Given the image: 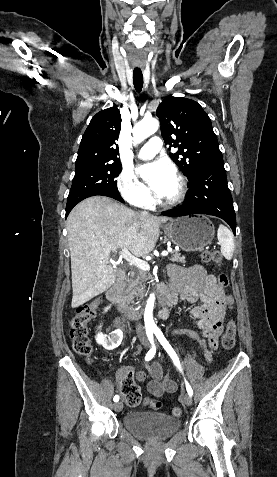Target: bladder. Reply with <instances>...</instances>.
I'll use <instances>...</instances> for the list:
<instances>
[{"mask_svg": "<svg viewBox=\"0 0 277 477\" xmlns=\"http://www.w3.org/2000/svg\"><path fill=\"white\" fill-rule=\"evenodd\" d=\"M124 426L137 437L144 440H163L181 426V421L161 412L131 411L123 418Z\"/></svg>", "mask_w": 277, "mask_h": 477, "instance_id": "1", "label": "bladder"}]
</instances>
